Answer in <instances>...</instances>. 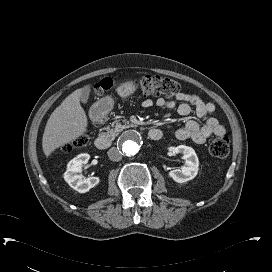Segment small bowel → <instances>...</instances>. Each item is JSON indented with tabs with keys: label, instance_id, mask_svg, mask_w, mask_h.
I'll return each mask as SVG.
<instances>
[{
	"label": "small bowel",
	"instance_id": "obj_1",
	"mask_svg": "<svg viewBox=\"0 0 272 272\" xmlns=\"http://www.w3.org/2000/svg\"><path fill=\"white\" fill-rule=\"evenodd\" d=\"M176 102H179L177 112L180 116H188L194 109L195 114L204 121L203 125H200L195 120L186 121L182 128L172 132L176 139H191L197 143H204L212 135L224 136L227 133L226 125L211 116L215 111V105L204 101L196 94L182 92L176 96L175 101H166L163 98H159L154 102L151 99H146L142 105L145 108L152 107L154 104L162 108H174Z\"/></svg>",
	"mask_w": 272,
	"mask_h": 272
}]
</instances>
